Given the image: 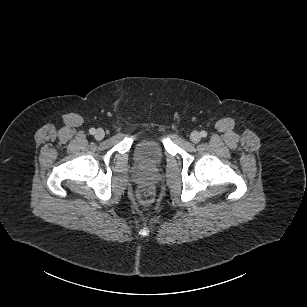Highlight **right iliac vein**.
<instances>
[{
    "label": "right iliac vein",
    "instance_id": "63e3f726",
    "mask_svg": "<svg viewBox=\"0 0 307 307\" xmlns=\"http://www.w3.org/2000/svg\"><path fill=\"white\" fill-rule=\"evenodd\" d=\"M104 136H105V132H104L103 129L99 128V129L96 130V132H95V138H96L97 140H102V139L104 138Z\"/></svg>",
    "mask_w": 307,
    "mask_h": 307
}]
</instances>
